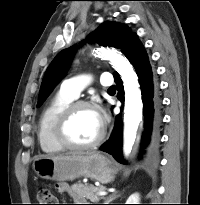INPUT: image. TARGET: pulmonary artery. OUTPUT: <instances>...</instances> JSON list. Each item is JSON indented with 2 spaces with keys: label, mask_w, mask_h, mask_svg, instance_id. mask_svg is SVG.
<instances>
[{
  "label": "pulmonary artery",
  "mask_w": 200,
  "mask_h": 205,
  "mask_svg": "<svg viewBox=\"0 0 200 205\" xmlns=\"http://www.w3.org/2000/svg\"><path fill=\"white\" fill-rule=\"evenodd\" d=\"M91 77L89 75H79L66 79L61 84V91L70 97L76 99L81 91L90 83ZM100 83L103 86H110L113 83L112 77L109 73H104L100 77Z\"/></svg>",
  "instance_id": "pulmonary-artery-1"
}]
</instances>
